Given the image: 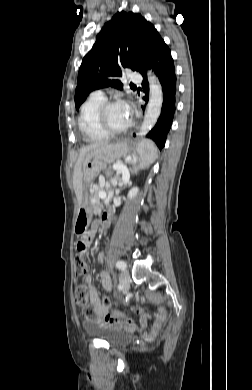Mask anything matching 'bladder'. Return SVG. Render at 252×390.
Segmentation results:
<instances>
[{"label":"bladder","instance_id":"1","mask_svg":"<svg viewBox=\"0 0 252 390\" xmlns=\"http://www.w3.org/2000/svg\"><path fill=\"white\" fill-rule=\"evenodd\" d=\"M85 328L89 334L96 336L113 346L124 345L132 340V336L129 332L110 325L87 323Z\"/></svg>","mask_w":252,"mask_h":390}]
</instances>
